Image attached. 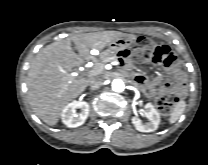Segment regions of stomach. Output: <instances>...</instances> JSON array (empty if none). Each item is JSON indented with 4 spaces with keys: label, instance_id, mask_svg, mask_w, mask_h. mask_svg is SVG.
Returning a JSON list of instances; mask_svg holds the SVG:
<instances>
[{
    "label": "stomach",
    "instance_id": "0dacf381",
    "mask_svg": "<svg viewBox=\"0 0 208 165\" xmlns=\"http://www.w3.org/2000/svg\"><path fill=\"white\" fill-rule=\"evenodd\" d=\"M134 42L135 39L133 37L124 35L108 44V49L113 51L114 53H118L122 50L130 48L134 44Z\"/></svg>",
    "mask_w": 208,
    "mask_h": 165
}]
</instances>
